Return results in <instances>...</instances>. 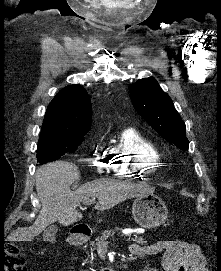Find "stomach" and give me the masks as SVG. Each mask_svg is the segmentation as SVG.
I'll list each match as a JSON object with an SVG mask.
<instances>
[{
	"label": "stomach",
	"instance_id": "1",
	"mask_svg": "<svg viewBox=\"0 0 221 271\" xmlns=\"http://www.w3.org/2000/svg\"><path fill=\"white\" fill-rule=\"evenodd\" d=\"M132 215L138 225L145 229L158 227L166 221L167 207L156 195H139L132 205Z\"/></svg>",
	"mask_w": 221,
	"mask_h": 271
}]
</instances>
